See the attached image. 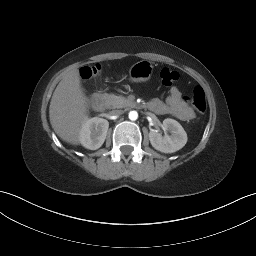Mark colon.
I'll return each instance as SVG.
<instances>
[{
  "label": "colon",
  "mask_w": 256,
  "mask_h": 256,
  "mask_svg": "<svg viewBox=\"0 0 256 256\" xmlns=\"http://www.w3.org/2000/svg\"><path fill=\"white\" fill-rule=\"evenodd\" d=\"M101 72L100 65H92L83 67L80 70V76L82 79H90L93 76L98 75ZM159 79L162 85L171 86L179 80V74L177 71L164 67L159 72ZM185 101L189 102L199 113H204L207 108L206 97L204 90L201 86H196L190 96L185 97Z\"/></svg>",
  "instance_id": "1"
}]
</instances>
